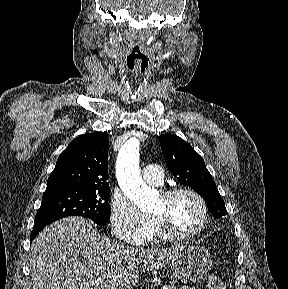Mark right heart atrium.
<instances>
[{
	"label": "right heart atrium",
	"instance_id": "obj_1",
	"mask_svg": "<svg viewBox=\"0 0 288 289\" xmlns=\"http://www.w3.org/2000/svg\"><path fill=\"white\" fill-rule=\"evenodd\" d=\"M110 224L114 236L127 244L144 243L152 231V220L122 194L111 199Z\"/></svg>",
	"mask_w": 288,
	"mask_h": 289
}]
</instances>
